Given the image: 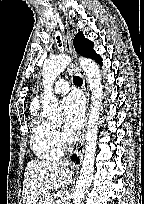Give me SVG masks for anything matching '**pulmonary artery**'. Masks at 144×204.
Masks as SVG:
<instances>
[{"instance_id": "pulmonary-artery-1", "label": "pulmonary artery", "mask_w": 144, "mask_h": 204, "mask_svg": "<svg viewBox=\"0 0 144 204\" xmlns=\"http://www.w3.org/2000/svg\"><path fill=\"white\" fill-rule=\"evenodd\" d=\"M69 90V83L66 80L60 79L55 83L54 92L56 94H66L69 92Z\"/></svg>"}]
</instances>
